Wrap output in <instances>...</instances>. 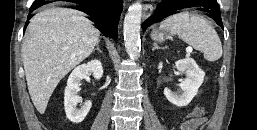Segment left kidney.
Masks as SVG:
<instances>
[{"label":"left kidney","instance_id":"left-kidney-1","mask_svg":"<svg viewBox=\"0 0 257 130\" xmlns=\"http://www.w3.org/2000/svg\"><path fill=\"white\" fill-rule=\"evenodd\" d=\"M179 71L185 72L186 78L180 84L182 92L174 93L169 88L164 89V95L172 104L183 107L187 106L197 94L202 85L205 73L202 71L192 58H185L175 62Z\"/></svg>","mask_w":257,"mask_h":130}]
</instances>
